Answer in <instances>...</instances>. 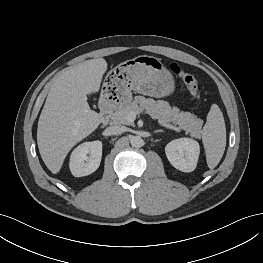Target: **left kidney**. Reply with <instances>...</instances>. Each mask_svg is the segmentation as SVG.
<instances>
[{
    "instance_id": "5707ae66",
    "label": "left kidney",
    "mask_w": 263,
    "mask_h": 263,
    "mask_svg": "<svg viewBox=\"0 0 263 263\" xmlns=\"http://www.w3.org/2000/svg\"><path fill=\"white\" fill-rule=\"evenodd\" d=\"M165 153L173 167L182 172H192L197 166L200 146L193 139L179 138L166 145Z\"/></svg>"
}]
</instances>
